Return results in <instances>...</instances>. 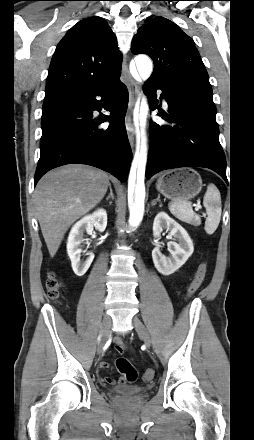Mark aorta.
<instances>
[{
	"instance_id": "aorta-1",
	"label": "aorta",
	"mask_w": 254,
	"mask_h": 440,
	"mask_svg": "<svg viewBox=\"0 0 254 440\" xmlns=\"http://www.w3.org/2000/svg\"><path fill=\"white\" fill-rule=\"evenodd\" d=\"M135 63L140 77L143 80H147L153 71V64L151 59L146 55H138L135 57ZM148 110V103L145 99H143L140 107L136 106L134 111L135 125L136 127H139L140 125V134L138 136L137 151L131 167L128 181V223L131 227L138 226L141 223L144 215V180L147 163L146 118Z\"/></svg>"
}]
</instances>
